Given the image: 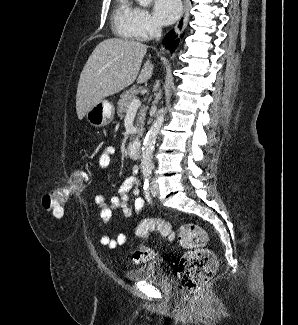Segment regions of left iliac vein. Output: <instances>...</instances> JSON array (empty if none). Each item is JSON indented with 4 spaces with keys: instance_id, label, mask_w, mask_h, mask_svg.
Returning a JSON list of instances; mask_svg holds the SVG:
<instances>
[{
    "instance_id": "1",
    "label": "left iliac vein",
    "mask_w": 298,
    "mask_h": 325,
    "mask_svg": "<svg viewBox=\"0 0 298 325\" xmlns=\"http://www.w3.org/2000/svg\"><path fill=\"white\" fill-rule=\"evenodd\" d=\"M150 192H151L153 197H156L158 195V193H159V187H158L157 183L154 180L151 182Z\"/></svg>"
}]
</instances>
